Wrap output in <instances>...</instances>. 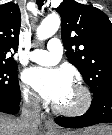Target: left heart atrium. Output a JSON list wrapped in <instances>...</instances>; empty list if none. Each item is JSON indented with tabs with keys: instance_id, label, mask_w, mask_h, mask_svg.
Listing matches in <instances>:
<instances>
[{
	"instance_id": "left-heart-atrium-1",
	"label": "left heart atrium",
	"mask_w": 112,
	"mask_h": 135,
	"mask_svg": "<svg viewBox=\"0 0 112 135\" xmlns=\"http://www.w3.org/2000/svg\"><path fill=\"white\" fill-rule=\"evenodd\" d=\"M24 78L43 98L57 103L72 87L71 76L63 69L34 67L25 72Z\"/></svg>"
}]
</instances>
